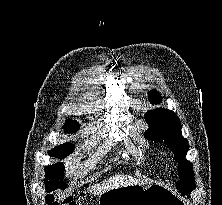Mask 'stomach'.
Listing matches in <instances>:
<instances>
[{
	"mask_svg": "<svg viewBox=\"0 0 222 205\" xmlns=\"http://www.w3.org/2000/svg\"><path fill=\"white\" fill-rule=\"evenodd\" d=\"M99 205H187L185 199L159 183L132 184L99 195Z\"/></svg>",
	"mask_w": 222,
	"mask_h": 205,
	"instance_id": "1",
	"label": "stomach"
}]
</instances>
